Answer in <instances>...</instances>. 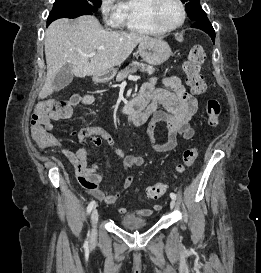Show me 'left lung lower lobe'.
I'll return each instance as SVG.
<instances>
[{
  "label": "left lung lower lobe",
  "instance_id": "0a47b994",
  "mask_svg": "<svg viewBox=\"0 0 261 273\" xmlns=\"http://www.w3.org/2000/svg\"><path fill=\"white\" fill-rule=\"evenodd\" d=\"M191 27L205 31L212 38V41L215 42V31L207 17H203L195 21V23L192 24Z\"/></svg>",
  "mask_w": 261,
  "mask_h": 273
}]
</instances>
